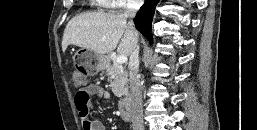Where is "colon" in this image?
Masks as SVG:
<instances>
[{
	"instance_id": "obj_1",
	"label": "colon",
	"mask_w": 257,
	"mask_h": 130,
	"mask_svg": "<svg viewBox=\"0 0 257 130\" xmlns=\"http://www.w3.org/2000/svg\"><path fill=\"white\" fill-rule=\"evenodd\" d=\"M73 83L77 87L84 86L86 84V76L80 70H74L72 75Z\"/></svg>"
}]
</instances>
